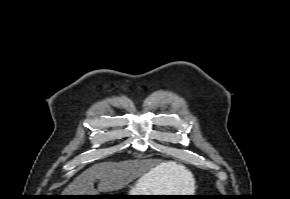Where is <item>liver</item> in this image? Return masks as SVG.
<instances>
[{"instance_id": "obj_1", "label": "liver", "mask_w": 290, "mask_h": 199, "mask_svg": "<svg viewBox=\"0 0 290 199\" xmlns=\"http://www.w3.org/2000/svg\"><path fill=\"white\" fill-rule=\"evenodd\" d=\"M155 168L169 192L184 191L193 182L192 174L176 162H162ZM147 170L146 162L139 160L98 163L78 175L64 189L63 195H98L100 192L119 190L137 177L148 174ZM96 179H99L97 189L94 188Z\"/></svg>"}]
</instances>
